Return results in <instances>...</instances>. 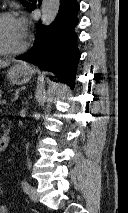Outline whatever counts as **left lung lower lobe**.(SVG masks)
I'll return each mask as SVG.
<instances>
[{"label": "left lung lower lobe", "mask_w": 128, "mask_h": 213, "mask_svg": "<svg viewBox=\"0 0 128 213\" xmlns=\"http://www.w3.org/2000/svg\"><path fill=\"white\" fill-rule=\"evenodd\" d=\"M28 8L34 10L36 7L31 4ZM79 9L77 0H60L55 21L49 26L39 23L34 46L16 59L29 61L42 69L52 71L57 77L64 78L73 88L75 71L80 59L75 33Z\"/></svg>", "instance_id": "obj_1"}]
</instances>
